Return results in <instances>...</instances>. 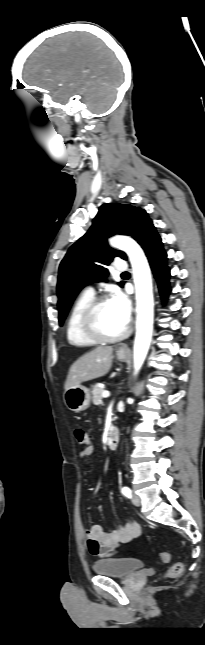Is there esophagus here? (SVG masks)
<instances>
[{
	"label": "esophagus",
	"mask_w": 205,
	"mask_h": 645,
	"mask_svg": "<svg viewBox=\"0 0 205 645\" xmlns=\"http://www.w3.org/2000/svg\"><path fill=\"white\" fill-rule=\"evenodd\" d=\"M119 352L124 353L126 352V345H123L120 347Z\"/></svg>",
	"instance_id": "1"
}]
</instances>
